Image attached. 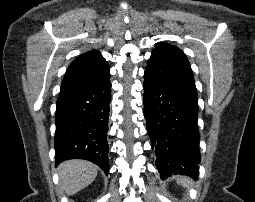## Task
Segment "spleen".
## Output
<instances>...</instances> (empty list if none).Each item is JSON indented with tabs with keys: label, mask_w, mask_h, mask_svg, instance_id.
<instances>
[{
	"label": "spleen",
	"mask_w": 255,
	"mask_h": 202,
	"mask_svg": "<svg viewBox=\"0 0 255 202\" xmlns=\"http://www.w3.org/2000/svg\"><path fill=\"white\" fill-rule=\"evenodd\" d=\"M177 182L182 184L183 186H189L190 180L186 177H177Z\"/></svg>",
	"instance_id": "1"
}]
</instances>
